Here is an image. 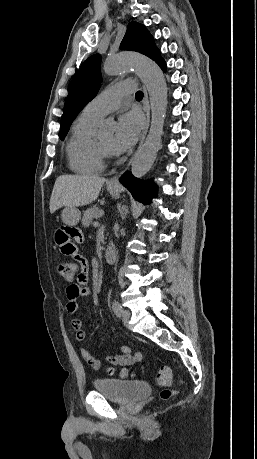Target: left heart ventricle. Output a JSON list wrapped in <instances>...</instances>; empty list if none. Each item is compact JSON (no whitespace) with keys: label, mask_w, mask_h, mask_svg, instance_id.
<instances>
[{"label":"left heart ventricle","mask_w":257,"mask_h":459,"mask_svg":"<svg viewBox=\"0 0 257 459\" xmlns=\"http://www.w3.org/2000/svg\"><path fill=\"white\" fill-rule=\"evenodd\" d=\"M113 134L107 133L99 138V141L107 148H111L113 146Z\"/></svg>","instance_id":"1"}]
</instances>
